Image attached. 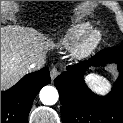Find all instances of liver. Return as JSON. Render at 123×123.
I'll return each instance as SVG.
<instances>
[{"label":"liver","instance_id":"1","mask_svg":"<svg viewBox=\"0 0 123 123\" xmlns=\"http://www.w3.org/2000/svg\"><path fill=\"white\" fill-rule=\"evenodd\" d=\"M37 30L20 25L1 26V90L24 76L27 64L45 58L52 46Z\"/></svg>","mask_w":123,"mask_h":123}]
</instances>
